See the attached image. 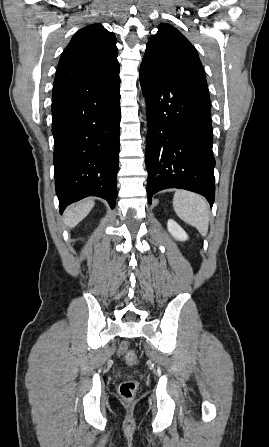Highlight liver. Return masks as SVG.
<instances>
[{
	"label": "liver",
	"mask_w": 269,
	"mask_h": 447,
	"mask_svg": "<svg viewBox=\"0 0 269 447\" xmlns=\"http://www.w3.org/2000/svg\"><path fill=\"white\" fill-rule=\"evenodd\" d=\"M94 208L93 200H83L75 206H69L64 212V224L68 227H75L81 220L86 218L87 214Z\"/></svg>",
	"instance_id": "obj_1"
}]
</instances>
